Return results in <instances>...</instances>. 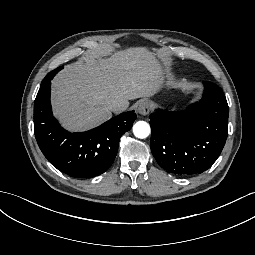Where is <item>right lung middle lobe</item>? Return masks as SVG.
I'll list each match as a JSON object with an SVG mask.
<instances>
[{
  "label": "right lung middle lobe",
  "mask_w": 255,
  "mask_h": 255,
  "mask_svg": "<svg viewBox=\"0 0 255 255\" xmlns=\"http://www.w3.org/2000/svg\"><path fill=\"white\" fill-rule=\"evenodd\" d=\"M62 68H63V66L58 67L57 69H55V70H53L52 72H50V73L44 78V80H43L42 83L46 82L47 80H51V79L54 77V75H55L58 71H60Z\"/></svg>",
  "instance_id": "dd1d6c3e"
}]
</instances>
